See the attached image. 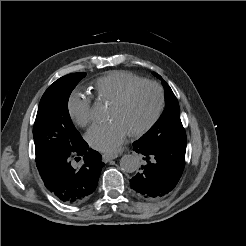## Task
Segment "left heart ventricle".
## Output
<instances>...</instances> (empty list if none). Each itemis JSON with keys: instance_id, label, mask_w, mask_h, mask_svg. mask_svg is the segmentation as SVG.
Here are the masks:
<instances>
[{"instance_id": "1", "label": "left heart ventricle", "mask_w": 246, "mask_h": 246, "mask_svg": "<svg viewBox=\"0 0 246 246\" xmlns=\"http://www.w3.org/2000/svg\"><path fill=\"white\" fill-rule=\"evenodd\" d=\"M158 101L159 94L154 86H141L130 95L123 105H111L109 118L120 120L131 132L142 127L152 118Z\"/></svg>"}]
</instances>
